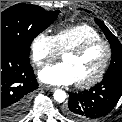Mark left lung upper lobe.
<instances>
[{
  "instance_id": "5c2ea615",
  "label": "left lung upper lobe",
  "mask_w": 122,
  "mask_h": 122,
  "mask_svg": "<svg viewBox=\"0 0 122 122\" xmlns=\"http://www.w3.org/2000/svg\"><path fill=\"white\" fill-rule=\"evenodd\" d=\"M95 22L104 32L107 37L112 50L111 64L105 74V76L111 75L113 73L122 72V45L119 40L111 33V31L105 26V24L99 20L95 19ZM104 76V77H105Z\"/></svg>"
}]
</instances>
